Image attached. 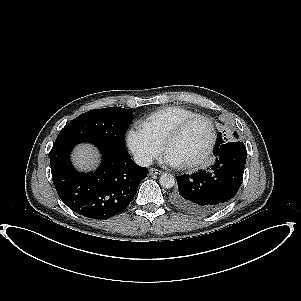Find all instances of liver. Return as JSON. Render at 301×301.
<instances>
[{
    "instance_id": "liver-1",
    "label": "liver",
    "mask_w": 301,
    "mask_h": 301,
    "mask_svg": "<svg viewBox=\"0 0 301 301\" xmlns=\"http://www.w3.org/2000/svg\"><path fill=\"white\" fill-rule=\"evenodd\" d=\"M97 150L88 144L79 145L73 152L72 160L79 170H91L98 163Z\"/></svg>"
}]
</instances>
